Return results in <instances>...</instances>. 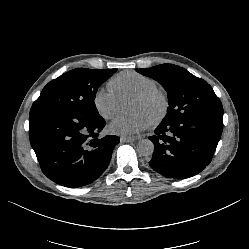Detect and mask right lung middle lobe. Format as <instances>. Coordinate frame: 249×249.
Returning <instances> with one entry per match:
<instances>
[{"label":"right lung middle lobe","mask_w":249,"mask_h":249,"mask_svg":"<svg viewBox=\"0 0 249 249\" xmlns=\"http://www.w3.org/2000/svg\"><path fill=\"white\" fill-rule=\"evenodd\" d=\"M117 69H73L49 82L33 103L30 114L40 111L66 110L81 115L99 116L95 106L98 88Z\"/></svg>","instance_id":"1"}]
</instances>
